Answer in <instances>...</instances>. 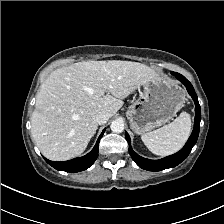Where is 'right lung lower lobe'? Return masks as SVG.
Segmentation results:
<instances>
[{"instance_id":"right-lung-lower-lobe-1","label":"right lung lower lobe","mask_w":224,"mask_h":224,"mask_svg":"<svg viewBox=\"0 0 224 224\" xmlns=\"http://www.w3.org/2000/svg\"><path fill=\"white\" fill-rule=\"evenodd\" d=\"M104 131L99 136L93 150L87 155L64 162H54L45 158L46 162L57 170L66 172H79L89 168L98 157V145Z\"/></svg>"}]
</instances>
